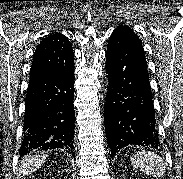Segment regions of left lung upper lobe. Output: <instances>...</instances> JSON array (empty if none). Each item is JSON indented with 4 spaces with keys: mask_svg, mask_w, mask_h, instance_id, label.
Here are the masks:
<instances>
[{
    "mask_svg": "<svg viewBox=\"0 0 183 179\" xmlns=\"http://www.w3.org/2000/svg\"><path fill=\"white\" fill-rule=\"evenodd\" d=\"M115 30L130 31L133 32L128 26L122 25L117 27Z\"/></svg>",
    "mask_w": 183,
    "mask_h": 179,
    "instance_id": "left-lung-upper-lobe-1",
    "label": "left lung upper lobe"
}]
</instances>
